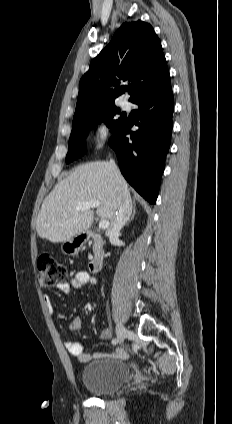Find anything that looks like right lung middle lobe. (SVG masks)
I'll return each instance as SVG.
<instances>
[{
	"instance_id": "right-lung-middle-lobe-1",
	"label": "right lung middle lobe",
	"mask_w": 232,
	"mask_h": 424,
	"mask_svg": "<svg viewBox=\"0 0 232 424\" xmlns=\"http://www.w3.org/2000/svg\"><path fill=\"white\" fill-rule=\"evenodd\" d=\"M119 113V108L116 106H110L88 112L73 119L66 163H69L85 154L86 135L95 125L104 122L111 129L113 134L119 130L127 121L126 118H116V114Z\"/></svg>"
}]
</instances>
